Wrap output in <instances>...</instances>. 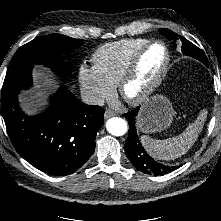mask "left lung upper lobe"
<instances>
[{"mask_svg":"<svg viewBox=\"0 0 221 221\" xmlns=\"http://www.w3.org/2000/svg\"><path fill=\"white\" fill-rule=\"evenodd\" d=\"M159 32L168 39L178 42L181 45V50L184 55L194 57L204 63L206 66H208L204 53L201 51V49L192 44L190 41L182 36L178 37L177 34L169 29H159Z\"/></svg>","mask_w":221,"mask_h":221,"instance_id":"1","label":"left lung upper lobe"}]
</instances>
